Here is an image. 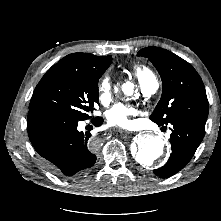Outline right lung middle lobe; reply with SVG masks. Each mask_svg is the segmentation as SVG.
I'll return each mask as SVG.
<instances>
[{
    "mask_svg": "<svg viewBox=\"0 0 221 221\" xmlns=\"http://www.w3.org/2000/svg\"><path fill=\"white\" fill-rule=\"evenodd\" d=\"M83 70L66 64L53 65L32 95L29 110H44L87 120L99 104L98 80L109 67Z\"/></svg>",
    "mask_w": 221,
    "mask_h": 221,
    "instance_id": "1",
    "label": "right lung middle lobe"
}]
</instances>
